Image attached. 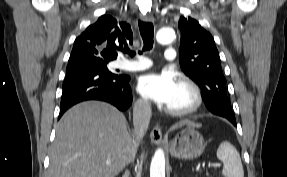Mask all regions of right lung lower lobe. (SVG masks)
Segmentation results:
<instances>
[{
    "label": "right lung lower lobe",
    "mask_w": 287,
    "mask_h": 177,
    "mask_svg": "<svg viewBox=\"0 0 287 177\" xmlns=\"http://www.w3.org/2000/svg\"><path fill=\"white\" fill-rule=\"evenodd\" d=\"M129 80V76L93 67L67 71L59 117L73 105L87 100L105 101L126 110L132 102Z\"/></svg>",
    "instance_id": "1"
}]
</instances>
